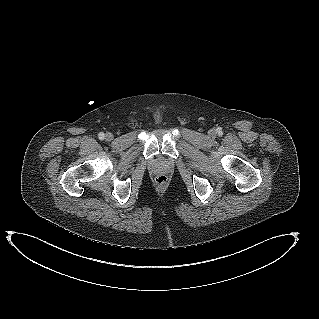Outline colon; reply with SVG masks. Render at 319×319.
Returning a JSON list of instances; mask_svg holds the SVG:
<instances>
[{
  "label": "colon",
  "instance_id": "obj_1",
  "mask_svg": "<svg viewBox=\"0 0 319 319\" xmlns=\"http://www.w3.org/2000/svg\"><path fill=\"white\" fill-rule=\"evenodd\" d=\"M167 180H168V178H167V176L164 175V174H160V175H158V176L155 177V182H156V184H158V185H160V186L165 185V184L167 183Z\"/></svg>",
  "mask_w": 319,
  "mask_h": 319
}]
</instances>
